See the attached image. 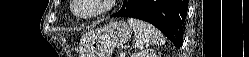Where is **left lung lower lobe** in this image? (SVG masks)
I'll list each match as a JSON object with an SVG mask.
<instances>
[{
  "instance_id": "1",
  "label": "left lung lower lobe",
  "mask_w": 249,
  "mask_h": 57,
  "mask_svg": "<svg viewBox=\"0 0 249 57\" xmlns=\"http://www.w3.org/2000/svg\"><path fill=\"white\" fill-rule=\"evenodd\" d=\"M187 0H124L122 8L111 17H133L153 24L175 46L183 41Z\"/></svg>"
}]
</instances>
